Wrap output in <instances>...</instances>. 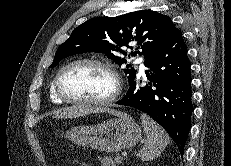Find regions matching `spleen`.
Returning a JSON list of instances; mask_svg holds the SVG:
<instances>
[{
  "instance_id": "1",
  "label": "spleen",
  "mask_w": 231,
  "mask_h": 166,
  "mask_svg": "<svg viewBox=\"0 0 231 166\" xmlns=\"http://www.w3.org/2000/svg\"><path fill=\"white\" fill-rule=\"evenodd\" d=\"M141 123L146 135L144 146L140 150L139 157L142 161H150L160 156L170 138L167 133L147 114H141Z\"/></svg>"
}]
</instances>
